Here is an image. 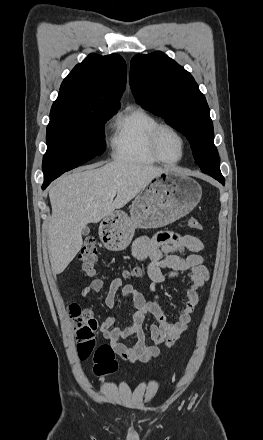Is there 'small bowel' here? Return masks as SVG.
I'll use <instances>...</instances> for the list:
<instances>
[{"label":"small bowel","instance_id":"obj_1","mask_svg":"<svg viewBox=\"0 0 263 440\" xmlns=\"http://www.w3.org/2000/svg\"><path fill=\"white\" fill-rule=\"evenodd\" d=\"M204 250L203 242L192 235H178L171 231H163L148 237L137 238L132 246L133 257L138 260L149 259L147 275L151 280L150 289L156 291L158 284L179 277L189 272V286L186 290L187 302L175 321H170L161 307L158 296L147 300L132 284L124 283L125 277L113 278L105 296L108 308H116V295L120 291L122 297L131 300L134 305L132 323L127 327L115 325V318L110 316L99 323V331L108 340L114 351L130 362L146 363L160 353V346H172L187 330L191 315L199 301V290L209 279V272L203 265V257L199 254ZM179 253H188L181 258ZM169 272L164 274L163 270ZM105 286L101 278H93L82 290V296L88 297L91 292H99ZM147 315L154 318L149 328V337L143 329ZM134 337V342L127 346L122 340Z\"/></svg>","mask_w":263,"mask_h":440}]
</instances>
